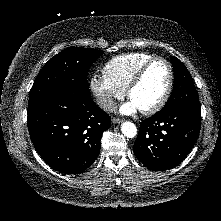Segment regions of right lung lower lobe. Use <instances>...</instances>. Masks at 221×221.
<instances>
[{
	"label": "right lung lower lobe",
	"instance_id": "98d812e1",
	"mask_svg": "<svg viewBox=\"0 0 221 221\" xmlns=\"http://www.w3.org/2000/svg\"><path fill=\"white\" fill-rule=\"evenodd\" d=\"M27 120L36 151L63 174L83 173L95 161L102 134L111 124L89 92L72 88L53 93L27 111Z\"/></svg>",
	"mask_w": 221,
	"mask_h": 221
}]
</instances>
